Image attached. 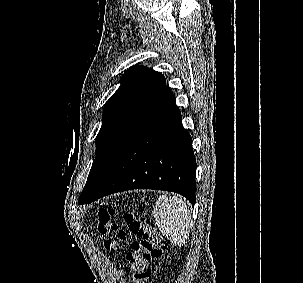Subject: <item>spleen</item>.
<instances>
[{
  "label": "spleen",
  "instance_id": "obj_1",
  "mask_svg": "<svg viewBox=\"0 0 303 283\" xmlns=\"http://www.w3.org/2000/svg\"><path fill=\"white\" fill-rule=\"evenodd\" d=\"M153 216L160 232L174 245L185 244L190 233L191 214L179 197L162 195L156 201Z\"/></svg>",
  "mask_w": 303,
  "mask_h": 283
}]
</instances>
